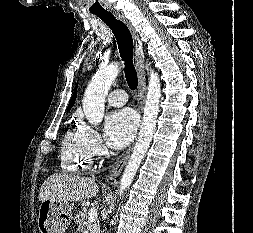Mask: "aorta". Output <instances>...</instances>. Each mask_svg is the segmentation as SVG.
<instances>
[{"label":"aorta","mask_w":253,"mask_h":233,"mask_svg":"<svg viewBox=\"0 0 253 233\" xmlns=\"http://www.w3.org/2000/svg\"><path fill=\"white\" fill-rule=\"evenodd\" d=\"M119 71L120 68L117 64L100 68L86 88L82 103L83 111L88 122L94 127L102 122L105 97ZM160 97L161 84L159 77L154 70L150 69L143 121L134 150L120 180V196L131 185L141 161L150 147L156 128ZM114 220L115 218L110 222L112 225L115 224Z\"/></svg>","instance_id":"1"}]
</instances>
